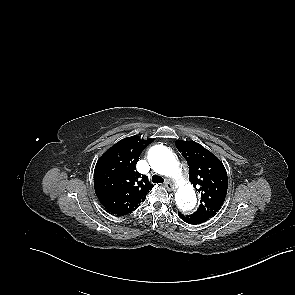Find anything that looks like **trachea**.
<instances>
[{
  "instance_id": "obj_1",
  "label": "trachea",
  "mask_w": 295,
  "mask_h": 295,
  "mask_svg": "<svg viewBox=\"0 0 295 295\" xmlns=\"http://www.w3.org/2000/svg\"><path fill=\"white\" fill-rule=\"evenodd\" d=\"M152 182L153 183H163L164 179L159 175H153L152 176Z\"/></svg>"
}]
</instances>
